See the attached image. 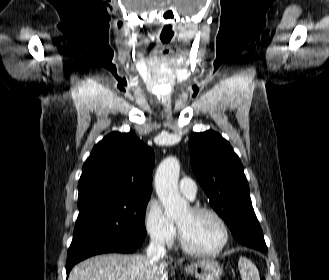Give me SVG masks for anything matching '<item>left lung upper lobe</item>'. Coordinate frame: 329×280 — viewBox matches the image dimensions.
<instances>
[{
    "label": "left lung upper lobe",
    "instance_id": "obj_1",
    "mask_svg": "<svg viewBox=\"0 0 329 280\" xmlns=\"http://www.w3.org/2000/svg\"><path fill=\"white\" fill-rule=\"evenodd\" d=\"M191 164L213 209L229 225L238 228L258 223L249 186L239 157L218 133H193L189 140ZM239 242L249 247H266L262 233L248 234Z\"/></svg>",
    "mask_w": 329,
    "mask_h": 280
}]
</instances>
